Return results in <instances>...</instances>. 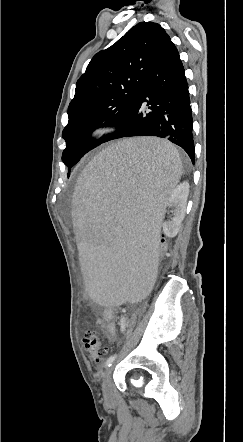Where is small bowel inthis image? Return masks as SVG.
I'll use <instances>...</instances> for the list:
<instances>
[{"label":"small bowel","mask_w":243,"mask_h":442,"mask_svg":"<svg viewBox=\"0 0 243 442\" xmlns=\"http://www.w3.org/2000/svg\"><path fill=\"white\" fill-rule=\"evenodd\" d=\"M115 311L116 307L106 308L103 311L102 319L97 322L109 341H114L116 338Z\"/></svg>","instance_id":"c3829d8e"}]
</instances>
